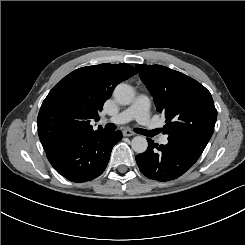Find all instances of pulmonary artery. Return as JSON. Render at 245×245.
I'll return each instance as SVG.
<instances>
[{
  "instance_id": "pulmonary-artery-1",
  "label": "pulmonary artery",
  "mask_w": 245,
  "mask_h": 245,
  "mask_svg": "<svg viewBox=\"0 0 245 245\" xmlns=\"http://www.w3.org/2000/svg\"><path fill=\"white\" fill-rule=\"evenodd\" d=\"M135 105L123 110L121 113L110 118V121L115 123H125L135 118L139 127L145 132H152L156 128V123L149 117L150 99L146 95H138L135 98ZM159 142L166 146L170 142V135L168 133H161L159 135Z\"/></svg>"
}]
</instances>
